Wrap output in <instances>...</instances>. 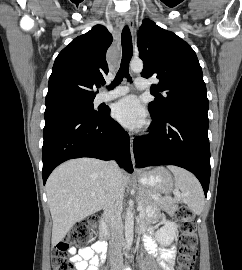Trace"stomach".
<instances>
[{"mask_svg":"<svg viewBox=\"0 0 242 270\" xmlns=\"http://www.w3.org/2000/svg\"><path fill=\"white\" fill-rule=\"evenodd\" d=\"M138 182L141 187V192L168 193L173 187L170 173L162 167L142 173L138 177Z\"/></svg>","mask_w":242,"mask_h":270,"instance_id":"obj_1","label":"stomach"}]
</instances>
